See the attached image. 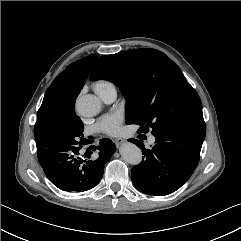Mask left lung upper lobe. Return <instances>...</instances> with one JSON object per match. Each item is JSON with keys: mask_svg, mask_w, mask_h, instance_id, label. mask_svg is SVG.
<instances>
[{"mask_svg": "<svg viewBox=\"0 0 241 241\" xmlns=\"http://www.w3.org/2000/svg\"><path fill=\"white\" fill-rule=\"evenodd\" d=\"M90 79L108 80L126 99V123L138 132L175 133L202 141V103L179 67L156 49H135L98 58Z\"/></svg>", "mask_w": 241, "mask_h": 241, "instance_id": "5c2ea615", "label": "left lung upper lobe"}]
</instances>
